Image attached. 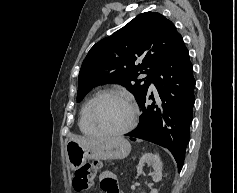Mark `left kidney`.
Listing matches in <instances>:
<instances>
[{
    "instance_id": "left-kidney-1",
    "label": "left kidney",
    "mask_w": 237,
    "mask_h": 193,
    "mask_svg": "<svg viewBox=\"0 0 237 193\" xmlns=\"http://www.w3.org/2000/svg\"><path fill=\"white\" fill-rule=\"evenodd\" d=\"M147 163L149 166H152L154 172L152 173V178L154 182H159L162 180V162L160 157L156 154L145 153L139 160V164L137 166V173H143V167ZM150 193H158L157 189H152Z\"/></svg>"
}]
</instances>
